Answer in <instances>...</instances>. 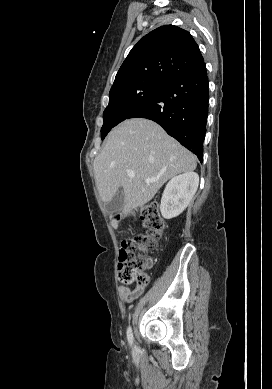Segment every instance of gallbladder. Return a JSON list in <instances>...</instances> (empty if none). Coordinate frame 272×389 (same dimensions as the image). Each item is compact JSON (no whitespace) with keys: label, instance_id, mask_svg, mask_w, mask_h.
Masks as SVG:
<instances>
[{"label":"gallbladder","instance_id":"gallbladder-1","mask_svg":"<svg viewBox=\"0 0 272 389\" xmlns=\"http://www.w3.org/2000/svg\"><path fill=\"white\" fill-rule=\"evenodd\" d=\"M125 205V198L122 190H118L113 198L106 203V209L110 213L120 212Z\"/></svg>","mask_w":272,"mask_h":389}]
</instances>
